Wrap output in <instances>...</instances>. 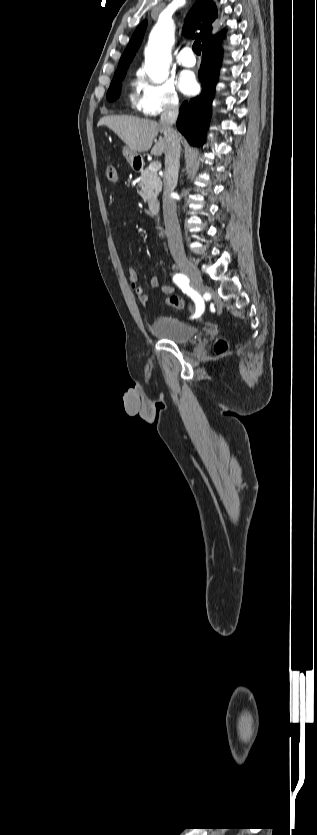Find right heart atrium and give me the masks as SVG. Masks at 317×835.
Instances as JSON below:
<instances>
[{
  "mask_svg": "<svg viewBox=\"0 0 317 835\" xmlns=\"http://www.w3.org/2000/svg\"><path fill=\"white\" fill-rule=\"evenodd\" d=\"M140 96L136 107L147 117H157L162 114L178 110L180 99L170 80L152 83L141 77L139 81Z\"/></svg>",
  "mask_w": 317,
  "mask_h": 835,
  "instance_id": "d8ad5b80",
  "label": "right heart atrium"
}]
</instances>
